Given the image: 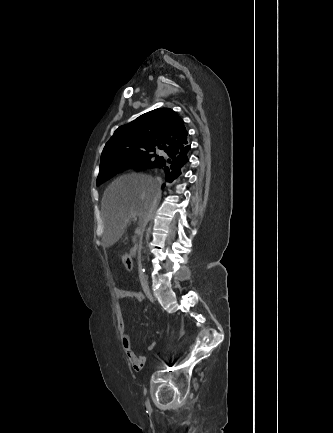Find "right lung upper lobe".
<instances>
[{
	"mask_svg": "<svg viewBox=\"0 0 333 433\" xmlns=\"http://www.w3.org/2000/svg\"><path fill=\"white\" fill-rule=\"evenodd\" d=\"M183 120L170 108L147 112L127 125L119 127L106 143L101 160L127 151L159 149L169 152L188 145Z\"/></svg>",
	"mask_w": 333,
	"mask_h": 433,
	"instance_id": "cb5924a9",
	"label": "right lung upper lobe"
}]
</instances>
